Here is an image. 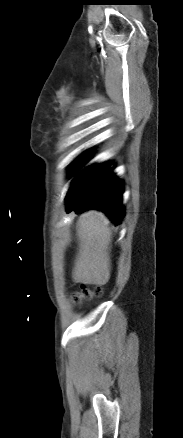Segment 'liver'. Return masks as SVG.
Returning <instances> with one entry per match:
<instances>
[{
	"instance_id": "liver-1",
	"label": "liver",
	"mask_w": 183,
	"mask_h": 438,
	"mask_svg": "<svg viewBox=\"0 0 183 438\" xmlns=\"http://www.w3.org/2000/svg\"><path fill=\"white\" fill-rule=\"evenodd\" d=\"M79 251L73 270L76 283L105 285L110 279V243L112 233L108 218L90 210L80 216L77 225Z\"/></svg>"
}]
</instances>
